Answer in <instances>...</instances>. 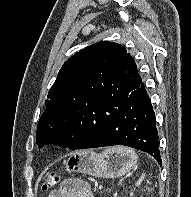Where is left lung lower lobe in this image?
Masks as SVG:
<instances>
[{
  "instance_id": "obj_1",
  "label": "left lung lower lobe",
  "mask_w": 191,
  "mask_h": 197,
  "mask_svg": "<svg viewBox=\"0 0 191 197\" xmlns=\"http://www.w3.org/2000/svg\"><path fill=\"white\" fill-rule=\"evenodd\" d=\"M65 137L66 147L72 150L125 145L147 152L162 164L155 113L139 74L103 93L92 113L75 118Z\"/></svg>"
}]
</instances>
